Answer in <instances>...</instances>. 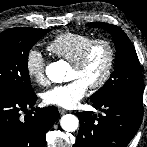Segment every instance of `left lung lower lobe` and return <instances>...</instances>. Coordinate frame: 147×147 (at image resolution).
Masks as SVG:
<instances>
[{"mask_svg":"<svg viewBox=\"0 0 147 147\" xmlns=\"http://www.w3.org/2000/svg\"><path fill=\"white\" fill-rule=\"evenodd\" d=\"M92 103L105 115L77 113L80 128L74 147H126L141 125L143 104L127 99Z\"/></svg>","mask_w":147,"mask_h":147,"instance_id":"left-lung-lower-lobe-1","label":"left lung lower lobe"}]
</instances>
